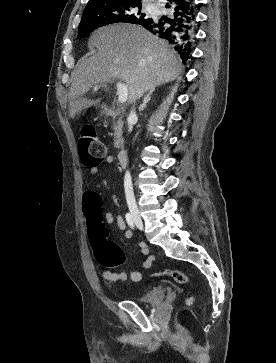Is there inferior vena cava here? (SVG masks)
<instances>
[{"label":"inferior vena cava","mask_w":276,"mask_h":363,"mask_svg":"<svg viewBox=\"0 0 276 363\" xmlns=\"http://www.w3.org/2000/svg\"><path fill=\"white\" fill-rule=\"evenodd\" d=\"M136 120H137V115L136 112L133 110L131 111L127 119L129 125V131H132L133 124L135 123ZM124 189L128 206L136 207V200L133 191L132 179L130 172L128 171L126 172L124 177Z\"/></svg>","instance_id":"inferior-vena-cava-1"}]
</instances>
